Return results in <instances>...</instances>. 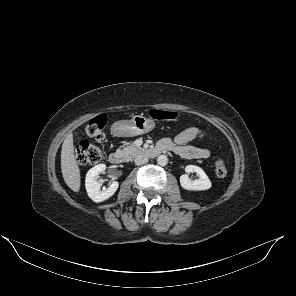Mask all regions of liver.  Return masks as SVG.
Listing matches in <instances>:
<instances>
[{
    "label": "liver",
    "instance_id": "liver-1",
    "mask_svg": "<svg viewBox=\"0 0 296 296\" xmlns=\"http://www.w3.org/2000/svg\"><path fill=\"white\" fill-rule=\"evenodd\" d=\"M61 170L65 183L74 192L80 190V169L74 155L73 134L69 133L62 144Z\"/></svg>",
    "mask_w": 296,
    "mask_h": 296
}]
</instances>
